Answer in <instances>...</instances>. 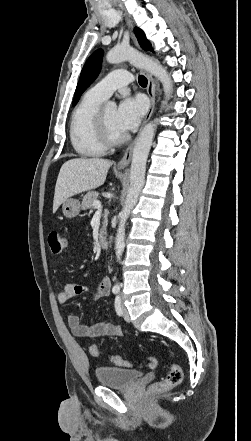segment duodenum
I'll return each mask as SVG.
<instances>
[{
	"label": "duodenum",
	"mask_w": 251,
	"mask_h": 441,
	"mask_svg": "<svg viewBox=\"0 0 251 441\" xmlns=\"http://www.w3.org/2000/svg\"><path fill=\"white\" fill-rule=\"evenodd\" d=\"M99 244L102 249H107L109 247V241L106 237H102L99 240Z\"/></svg>",
	"instance_id": "duodenum-1"
}]
</instances>
